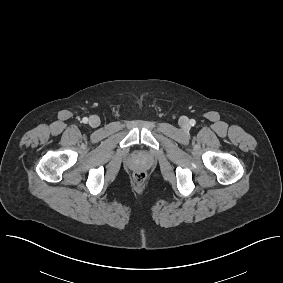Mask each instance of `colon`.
Masks as SVG:
<instances>
[{
    "instance_id": "colon-1",
    "label": "colon",
    "mask_w": 283,
    "mask_h": 283,
    "mask_svg": "<svg viewBox=\"0 0 283 283\" xmlns=\"http://www.w3.org/2000/svg\"><path fill=\"white\" fill-rule=\"evenodd\" d=\"M145 173L141 172V171H138L134 174V180L137 182V183H142L144 180H145Z\"/></svg>"
}]
</instances>
